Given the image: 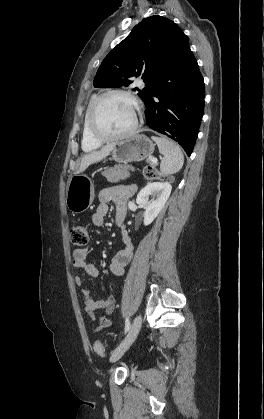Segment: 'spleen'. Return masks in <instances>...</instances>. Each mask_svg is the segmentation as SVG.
Here are the masks:
<instances>
[{"mask_svg":"<svg viewBox=\"0 0 264 419\" xmlns=\"http://www.w3.org/2000/svg\"><path fill=\"white\" fill-rule=\"evenodd\" d=\"M152 139L156 142L160 153L163 155L160 164L161 173L164 175L177 173L184 163V156L180 146L164 137L153 136Z\"/></svg>","mask_w":264,"mask_h":419,"instance_id":"1","label":"spleen"}]
</instances>
